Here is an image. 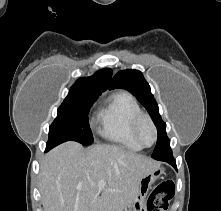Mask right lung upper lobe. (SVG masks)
<instances>
[{
    "label": "right lung upper lobe",
    "instance_id": "right-lung-upper-lobe-1",
    "mask_svg": "<svg viewBox=\"0 0 221 211\" xmlns=\"http://www.w3.org/2000/svg\"><path fill=\"white\" fill-rule=\"evenodd\" d=\"M112 70L102 69L91 77L80 78L70 89L65 100H71L82 96H99L107 90L111 89Z\"/></svg>",
    "mask_w": 221,
    "mask_h": 211
}]
</instances>
